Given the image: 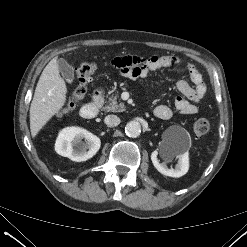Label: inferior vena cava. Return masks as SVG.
<instances>
[{
    "mask_svg": "<svg viewBox=\"0 0 247 247\" xmlns=\"http://www.w3.org/2000/svg\"><path fill=\"white\" fill-rule=\"evenodd\" d=\"M104 122L106 125L110 127H114L120 124V118L116 115H108L105 117Z\"/></svg>",
    "mask_w": 247,
    "mask_h": 247,
    "instance_id": "1",
    "label": "inferior vena cava"
}]
</instances>
